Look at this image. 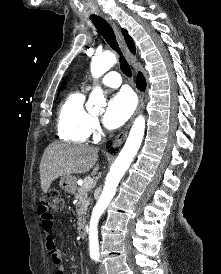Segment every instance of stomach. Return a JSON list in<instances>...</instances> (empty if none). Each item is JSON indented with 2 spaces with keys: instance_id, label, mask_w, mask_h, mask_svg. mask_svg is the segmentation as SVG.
<instances>
[{
  "instance_id": "1",
  "label": "stomach",
  "mask_w": 221,
  "mask_h": 274,
  "mask_svg": "<svg viewBox=\"0 0 221 274\" xmlns=\"http://www.w3.org/2000/svg\"><path fill=\"white\" fill-rule=\"evenodd\" d=\"M59 186L67 193H74L76 190V177L72 175L61 177Z\"/></svg>"
}]
</instances>
